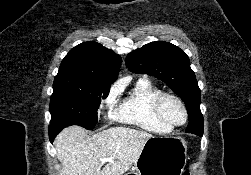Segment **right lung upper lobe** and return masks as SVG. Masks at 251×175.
Segmentation results:
<instances>
[{
    "label": "right lung upper lobe",
    "instance_id": "right-lung-upper-lobe-1",
    "mask_svg": "<svg viewBox=\"0 0 251 175\" xmlns=\"http://www.w3.org/2000/svg\"><path fill=\"white\" fill-rule=\"evenodd\" d=\"M121 57L89 41L72 48L61 62L55 81L110 87L117 79Z\"/></svg>",
    "mask_w": 251,
    "mask_h": 175
}]
</instances>
